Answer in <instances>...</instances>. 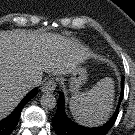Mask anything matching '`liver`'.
<instances>
[{"mask_svg":"<svg viewBox=\"0 0 135 135\" xmlns=\"http://www.w3.org/2000/svg\"><path fill=\"white\" fill-rule=\"evenodd\" d=\"M87 55L81 44L58 34L0 31V120L29 92L28 80L39 85L44 72L68 74Z\"/></svg>","mask_w":135,"mask_h":135,"instance_id":"obj_1","label":"liver"}]
</instances>
